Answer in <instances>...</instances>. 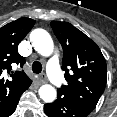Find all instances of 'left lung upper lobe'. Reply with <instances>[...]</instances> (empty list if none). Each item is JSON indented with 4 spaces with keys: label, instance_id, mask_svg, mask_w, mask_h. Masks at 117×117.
I'll use <instances>...</instances> for the list:
<instances>
[{
    "label": "left lung upper lobe",
    "instance_id": "5c2ea615",
    "mask_svg": "<svg viewBox=\"0 0 117 117\" xmlns=\"http://www.w3.org/2000/svg\"><path fill=\"white\" fill-rule=\"evenodd\" d=\"M51 27L63 48L62 69L68 81L58 91L92 112L106 86L105 58L96 43L70 23L52 21Z\"/></svg>",
    "mask_w": 117,
    "mask_h": 117
}]
</instances>
